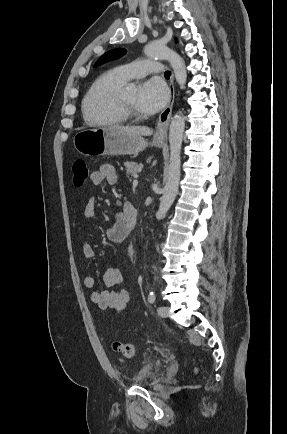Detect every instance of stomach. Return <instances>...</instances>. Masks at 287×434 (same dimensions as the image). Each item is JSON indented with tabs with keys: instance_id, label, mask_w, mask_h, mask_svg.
<instances>
[{
	"instance_id": "obj_1",
	"label": "stomach",
	"mask_w": 287,
	"mask_h": 434,
	"mask_svg": "<svg viewBox=\"0 0 287 434\" xmlns=\"http://www.w3.org/2000/svg\"><path fill=\"white\" fill-rule=\"evenodd\" d=\"M75 149L86 156L135 155L152 144L161 147L164 140L149 143L142 136L129 135L112 127L83 129L73 138Z\"/></svg>"
}]
</instances>
